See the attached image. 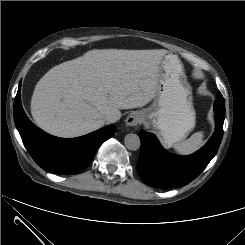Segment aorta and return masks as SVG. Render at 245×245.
Listing matches in <instances>:
<instances>
[{
  "label": "aorta",
  "instance_id": "obj_1",
  "mask_svg": "<svg viewBox=\"0 0 245 245\" xmlns=\"http://www.w3.org/2000/svg\"><path fill=\"white\" fill-rule=\"evenodd\" d=\"M124 144L127 149L136 151L140 148L141 142L138 135L130 133L125 136Z\"/></svg>",
  "mask_w": 245,
  "mask_h": 245
}]
</instances>
